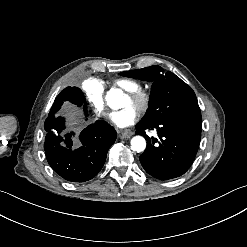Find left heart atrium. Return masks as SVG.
Returning <instances> with one entry per match:
<instances>
[{"label": "left heart atrium", "mask_w": 247, "mask_h": 247, "mask_svg": "<svg viewBox=\"0 0 247 247\" xmlns=\"http://www.w3.org/2000/svg\"><path fill=\"white\" fill-rule=\"evenodd\" d=\"M140 110L137 106L130 105L122 111L112 113L111 121L120 128L130 126L138 121Z\"/></svg>", "instance_id": "obj_1"}]
</instances>
